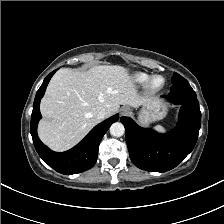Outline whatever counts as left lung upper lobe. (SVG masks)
<instances>
[{
  "label": "left lung upper lobe",
  "mask_w": 224,
  "mask_h": 224,
  "mask_svg": "<svg viewBox=\"0 0 224 224\" xmlns=\"http://www.w3.org/2000/svg\"><path fill=\"white\" fill-rule=\"evenodd\" d=\"M185 80L182 76H180L177 73H174L173 77H172V84H177L181 81Z\"/></svg>",
  "instance_id": "5c2ea615"
}]
</instances>
